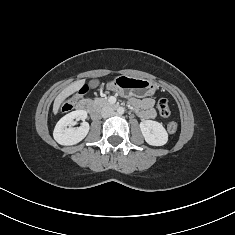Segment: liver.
<instances>
[{
	"instance_id": "6515ba94",
	"label": "liver",
	"mask_w": 235,
	"mask_h": 235,
	"mask_svg": "<svg viewBox=\"0 0 235 235\" xmlns=\"http://www.w3.org/2000/svg\"><path fill=\"white\" fill-rule=\"evenodd\" d=\"M85 83V80H78L67 86L65 89L61 91V93L55 98L54 104H53V113L56 115L59 111L60 105L63 103V101L78 91Z\"/></svg>"
}]
</instances>
